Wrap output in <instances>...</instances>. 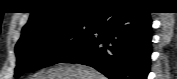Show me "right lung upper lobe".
<instances>
[{
    "label": "right lung upper lobe",
    "mask_w": 177,
    "mask_h": 79,
    "mask_svg": "<svg viewBox=\"0 0 177 79\" xmlns=\"http://www.w3.org/2000/svg\"><path fill=\"white\" fill-rule=\"evenodd\" d=\"M121 1L108 3L95 0H39L34 3L22 37L38 29L73 21H93L106 8ZM132 2V1H125Z\"/></svg>",
    "instance_id": "cb5924a9"
}]
</instances>
